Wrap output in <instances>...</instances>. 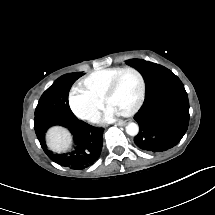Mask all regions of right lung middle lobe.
Instances as JSON below:
<instances>
[{
	"label": "right lung middle lobe",
	"instance_id": "obj_1",
	"mask_svg": "<svg viewBox=\"0 0 215 215\" xmlns=\"http://www.w3.org/2000/svg\"><path fill=\"white\" fill-rule=\"evenodd\" d=\"M81 76L80 73L63 76L48 88L38 102L34 122L54 117L76 118L69 107L68 94L72 84Z\"/></svg>",
	"mask_w": 215,
	"mask_h": 215
}]
</instances>
